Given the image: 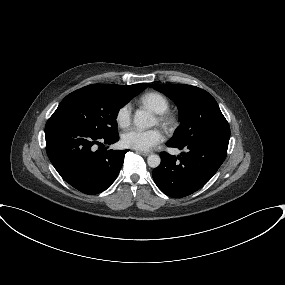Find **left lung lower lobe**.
Masks as SVG:
<instances>
[{"label": "left lung lower lobe", "instance_id": "obj_1", "mask_svg": "<svg viewBox=\"0 0 285 285\" xmlns=\"http://www.w3.org/2000/svg\"><path fill=\"white\" fill-rule=\"evenodd\" d=\"M167 146L186 150L177 157L160 153L161 164L152 173L158 188L173 198L188 196L202 188L221 166L228 149V144L205 141L186 145L168 142Z\"/></svg>", "mask_w": 285, "mask_h": 285}]
</instances>
